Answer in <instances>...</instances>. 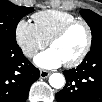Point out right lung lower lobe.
Masks as SVG:
<instances>
[{
    "label": "right lung lower lobe",
    "instance_id": "obj_1",
    "mask_svg": "<svg viewBox=\"0 0 102 102\" xmlns=\"http://www.w3.org/2000/svg\"><path fill=\"white\" fill-rule=\"evenodd\" d=\"M39 70L16 45L0 43V100L25 102L30 86L39 78Z\"/></svg>",
    "mask_w": 102,
    "mask_h": 102
}]
</instances>
